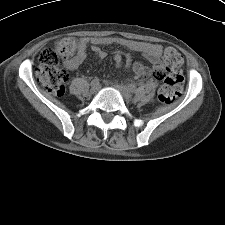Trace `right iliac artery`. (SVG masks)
<instances>
[{
	"label": "right iliac artery",
	"instance_id": "1",
	"mask_svg": "<svg viewBox=\"0 0 225 225\" xmlns=\"http://www.w3.org/2000/svg\"><path fill=\"white\" fill-rule=\"evenodd\" d=\"M99 78L95 77L92 81H91V85H94V84H99Z\"/></svg>",
	"mask_w": 225,
	"mask_h": 225
}]
</instances>
